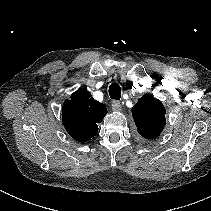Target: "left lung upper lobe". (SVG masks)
Instances as JSON below:
<instances>
[{
	"label": "left lung upper lobe",
	"mask_w": 211,
	"mask_h": 211,
	"mask_svg": "<svg viewBox=\"0 0 211 211\" xmlns=\"http://www.w3.org/2000/svg\"><path fill=\"white\" fill-rule=\"evenodd\" d=\"M165 113L160 100L144 94L132 108L138 133L147 139L157 138L166 124Z\"/></svg>",
	"instance_id": "5c2ea615"
}]
</instances>
